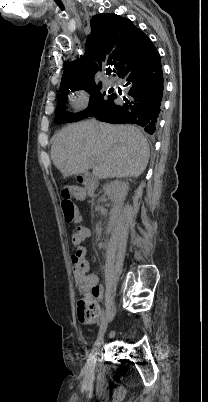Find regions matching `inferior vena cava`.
<instances>
[{"instance_id": "inferior-vena-cava-1", "label": "inferior vena cava", "mask_w": 208, "mask_h": 402, "mask_svg": "<svg viewBox=\"0 0 208 402\" xmlns=\"http://www.w3.org/2000/svg\"><path fill=\"white\" fill-rule=\"evenodd\" d=\"M91 124H92V126H97L96 120H91Z\"/></svg>"}]
</instances>
